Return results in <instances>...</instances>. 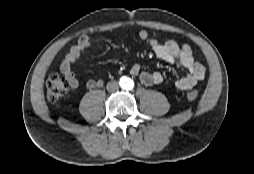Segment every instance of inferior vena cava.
<instances>
[{
    "mask_svg": "<svg viewBox=\"0 0 254 174\" xmlns=\"http://www.w3.org/2000/svg\"><path fill=\"white\" fill-rule=\"evenodd\" d=\"M118 89H119V83L116 82V81H112V82H109L107 84V90L108 91L114 92V91H116Z\"/></svg>",
    "mask_w": 254,
    "mask_h": 174,
    "instance_id": "602c4592",
    "label": "inferior vena cava"
}]
</instances>
